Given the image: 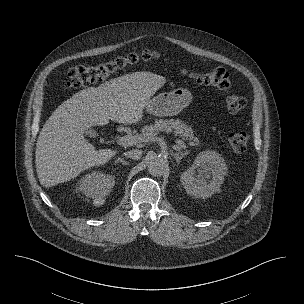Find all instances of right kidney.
Returning <instances> with one entry per match:
<instances>
[{
	"mask_svg": "<svg viewBox=\"0 0 304 304\" xmlns=\"http://www.w3.org/2000/svg\"><path fill=\"white\" fill-rule=\"evenodd\" d=\"M115 184L114 176L101 171H92L83 176L78 186L80 191L87 197L95 198L102 203V198L106 196Z\"/></svg>",
	"mask_w": 304,
	"mask_h": 304,
	"instance_id": "ca27d5eb",
	"label": "right kidney"
}]
</instances>
